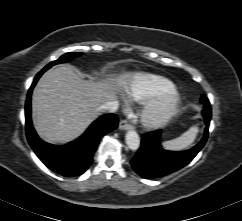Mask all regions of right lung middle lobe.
Listing matches in <instances>:
<instances>
[{"mask_svg": "<svg viewBox=\"0 0 242 221\" xmlns=\"http://www.w3.org/2000/svg\"><path fill=\"white\" fill-rule=\"evenodd\" d=\"M81 54H82L81 52L66 53L63 56H61L58 60L49 63L42 71H46L47 69H49L50 67H52L55 64L70 61L73 58L80 56Z\"/></svg>", "mask_w": 242, "mask_h": 221, "instance_id": "dd1d6c3e", "label": "right lung middle lobe"}]
</instances>
